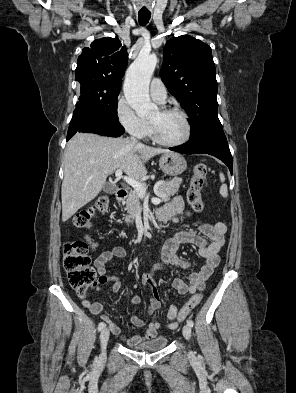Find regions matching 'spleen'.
Listing matches in <instances>:
<instances>
[{
    "mask_svg": "<svg viewBox=\"0 0 296 393\" xmlns=\"http://www.w3.org/2000/svg\"><path fill=\"white\" fill-rule=\"evenodd\" d=\"M220 181L223 183L225 181V176L223 173L219 174ZM220 194L222 197H227L228 196V189L226 184H222L220 187Z\"/></svg>",
    "mask_w": 296,
    "mask_h": 393,
    "instance_id": "obj_1",
    "label": "spleen"
}]
</instances>
